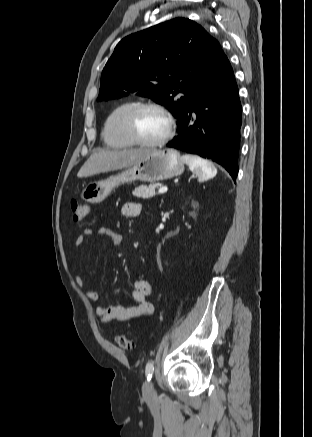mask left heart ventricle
<instances>
[{"label":"left heart ventricle","mask_w":312,"mask_h":437,"mask_svg":"<svg viewBox=\"0 0 312 437\" xmlns=\"http://www.w3.org/2000/svg\"><path fill=\"white\" fill-rule=\"evenodd\" d=\"M167 126L165 117L150 109L142 111L136 119L137 133L147 141H154L163 137L167 131Z\"/></svg>","instance_id":"1"}]
</instances>
